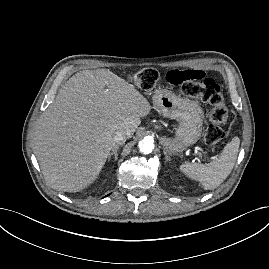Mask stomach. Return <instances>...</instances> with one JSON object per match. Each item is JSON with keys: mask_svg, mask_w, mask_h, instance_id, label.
Wrapping results in <instances>:
<instances>
[{"mask_svg": "<svg viewBox=\"0 0 269 269\" xmlns=\"http://www.w3.org/2000/svg\"><path fill=\"white\" fill-rule=\"evenodd\" d=\"M152 100L160 114L179 122L174 138H160L166 151L170 154L181 152L199 140L202 135L204 115L197 102L176 96L171 91L161 88L154 91Z\"/></svg>", "mask_w": 269, "mask_h": 269, "instance_id": "stomach-1", "label": "stomach"}]
</instances>
